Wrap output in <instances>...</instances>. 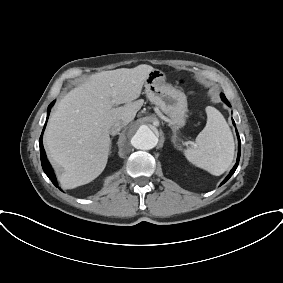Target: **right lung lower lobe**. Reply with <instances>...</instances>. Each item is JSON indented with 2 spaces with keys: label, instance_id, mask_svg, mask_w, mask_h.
<instances>
[{
  "label": "right lung lower lobe",
  "instance_id": "98d812e1",
  "mask_svg": "<svg viewBox=\"0 0 283 283\" xmlns=\"http://www.w3.org/2000/svg\"><path fill=\"white\" fill-rule=\"evenodd\" d=\"M54 104V101L49 105L48 107V114L50 112V109L51 107L53 106ZM47 123V122H46ZM46 123L44 125V128H43V131L46 127ZM43 131H42V134H43ZM39 146H40V156H41V164H42V168L44 170V172L46 173V175L48 176V178L52 181V183L56 186H57V182H56V178H55V175H54V172L46 158V154H45V151H44V148H43V144H42V135L39 139Z\"/></svg>",
  "mask_w": 283,
  "mask_h": 283
}]
</instances>
